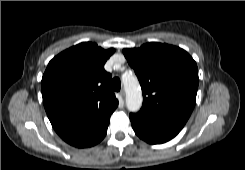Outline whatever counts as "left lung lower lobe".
Returning a JSON list of instances; mask_svg holds the SVG:
<instances>
[{"instance_id":"0a47b994","label":"left lung lower lobe","mask_w":245,"mask_h":170,"mask_svg":"<svg viewBox=\"0 0 245 170\" xmlns=\"http://www.w3.org/2000/svg\"><path fill=\"white\" fill-rule=\"evenodd\" d=\"M130 120L135 133L150 144H160L175 137L182 125L158 119L149 114L131 113Z\"/></svg>"}]
</instances>
